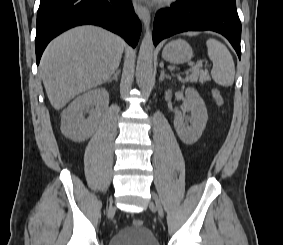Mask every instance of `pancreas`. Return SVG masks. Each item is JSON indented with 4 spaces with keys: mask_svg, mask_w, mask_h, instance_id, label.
Listing matches in <instances>:
<instances>
[{
    "mask_svg": "<svg viewBox=\"0 0 283 245\" xmlns=\"http://www.w3.org/2000/svg\"><path fill=\"white\" fill-rule=\"evenodd\" d=\"M191 82H201L204 83L206 81H209V75L207 70H192L189 78Z\"/></svg>",
    "mask_w": 283,
    "mask_h": 245,
    "instance_id": "cf45deb5",
    "label": "pancreas"
}]
</instances>
